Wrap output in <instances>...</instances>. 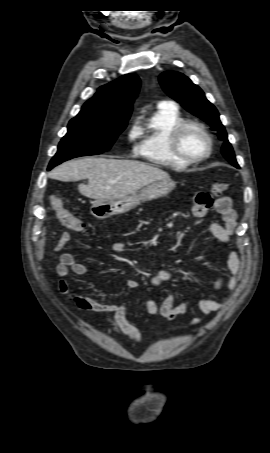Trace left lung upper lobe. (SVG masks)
<instances>
[{
    "mask_svg": "<svg viewBox=\"0 0 270 453\" xmlns=\"http://www.w3.org/2000/svg\"><path fill=\"white\" fill-rule=\"evenodd\" d=\"M163 90L179 101L190 113L207 122L224 141L222 154L235 167L240 168L235 159L234 151L227 139V133L220 122L217 109L205 97L204 92L185 75L174 72H163L159 77Z\"/></svg>",
    "mask_w": 270,
    "mask_h": 453,
    "instance_id": "left-lung-upper-lobe-1",
    "label": "left lung upper lobe"
}]
</instances>
